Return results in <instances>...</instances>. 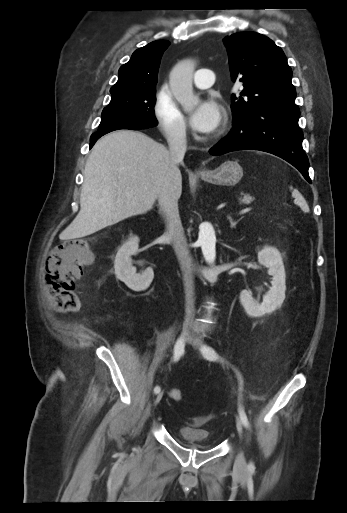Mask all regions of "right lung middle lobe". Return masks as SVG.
Segmentation results:
<instances>
[{"instance_id":"dd1d6c3e","label":"right lung middle lobe","mask_w":347,"mask_h":513,"mask_svg":"<svg viewBox=\"0 0 347 513\" xmlns=\"http://www.w3.org/2000/svg\"><path fill=\"white\" fill-rule=\"evenodd\" d=\"M111 93V101L102 112L98 130L119 125L157 126L154 114L156 88L124 90Z\"/></svg>"}]
</instances>
